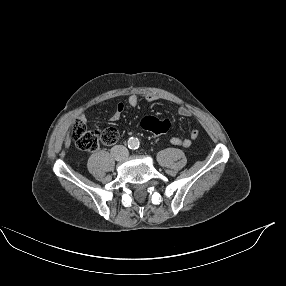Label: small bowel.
Wrapping results in <instances>:
<instances>
[{
	"mask_svg": "<svg viewBox=\"0 0 286 286\" xmlns=\"http://www.w3.org/2000/svg\"><path fill=\"white\" fill-rule=\"evenodd\" d=\"M158 99H159L158 96L155 94H147L145 96V100L148 102H154V101H157ZM127 104L130 107H136L139 104L138 96L135 94L130 95L127 99ZM124 109H125V105L123 103H118L115 108V112L111 117V120L112 121L118 120L121 117ZM178 114L182 117H190L192 115L191 111L185 107H180L178 110ZM81 120L83 122L86 121L85 117H82ZM198 135H199V132L194 129L190 132L188 138L172 137L170 139V142L171 144L176 145V146H181L183 148H189L192 145V142L195 139H197Z\"/></svg>",
	"mask_w": 286,
	"mask_h": 286,
	"instance_id": "c3829d8e",
	"label": "small bowel"
}]
</instances>
